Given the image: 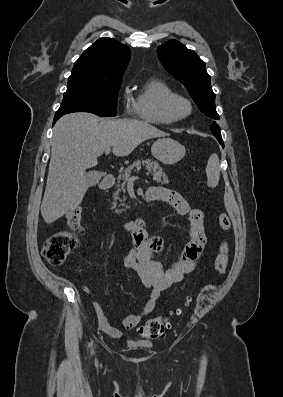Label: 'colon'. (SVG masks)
Instances as JSON below:
<instances>
[{
	"instance_id": "5ec220e1",
	"label": "colon",
	"mask_w": 283,
	"mask_h": 397,
	"mask_svg": "<svg viewBox=\"0 0 283 397\" xmlns=\"http://www.w3.org/2000/svg\"><path fill=\"white\" fill-rule=\"evenodd\" d=\"M82 214L79 208L70 210L66 215L67 229L53 234L45 242L42 255L54 265H59L65 261L68 255L74 250L78 243V233L81 231ZM219 227L222 231H228L231 227V220L225 212H221L218 217ZM229 246L227 241H222L217 254L214 271L217 276H221L228 266ZM191 296L187 297L183 306L176 309L172 314H182L184 308L192 302ZM170 327L169 319L166 317H156L148 320L139 327L138 334L144 339H158L164 335L165 329Z\"/></svg>"
}]
</instances>
